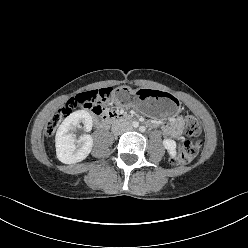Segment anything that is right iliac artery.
Masks as SVG:
<instances>
[{"label":"right iliac artery","mask_w":248,"mask_h":248,"mask_svg":"<svg viewBox=\"0 0 248 248\" xmlns=\"http://www.w3.org/2000/svg\"><path fill=\"white\" fill-rule=\"evenodd\" d=\"M132 125H133L134 127H138V126H139L138 122H133Z\"/></svg>","instance_id":"right-iliac-artery-1"}]
</instances>
